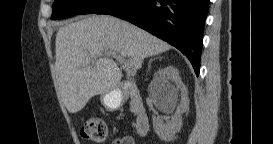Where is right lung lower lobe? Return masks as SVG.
<instances>
[{
	"label": "right lung lower lobe",
	"mask_w": 273,
	"mask_h": 144,
	"mask_svg": "<svg viewBox=\"0 0 273 144\" xmlns=\"http://www.w3.org/2000/svg\"><path fill=\"white\" fill-rule=\"evenodd\" d=\"M209 0H109L95 14L127 20L179 49L196 75Z\"/></svg>",
	"instance_id": "obj_1"
}]
</instances>
